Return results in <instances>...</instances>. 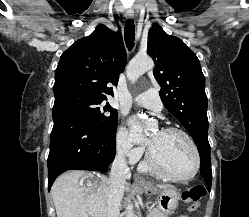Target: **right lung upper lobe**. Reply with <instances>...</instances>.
I'll use <instances>...</instances> for the list:
<instances>
[{"label":"right lung upper lobe","instance_id":"cb5924a9","mask_svg":"<svg viewBox=\"0 0 249 217\" xmlns=\"http://www.w3.org/2000/svg\"><path fill=\"white\" fill-rule=\"evenodd\" d=\"M126 60L121 34L99 25L61 55L55 71L54 95L74 91L106 100V94L113 96V89L106 85H117Z\"/></svg>","mask_w":249,"mask_h":217}]
</instances>
